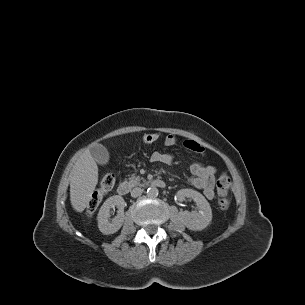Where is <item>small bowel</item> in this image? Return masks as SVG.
Here are the masks:
<instances>
[{
    "label": "small bowel",
    "instance_id": "obj_1",
    "mask_svg": "<svg viewBox=\"0 0 305 305\" xmlns=\"http://www.w3.org/2000/svg\"><path fill=\"white\" fill-rule=\"evenodd\" d=\"M191 141L197 149L193 150L186 146V142ZM184 142V146L196 153L203 154L204 148L193 140H187ZM178 139L175 135L169 134L164 139V145L166 147H173L177 144ZM150 161L154 163L171 164L173 162V155L170 153L153 152L150 156ZM191 172V184L197 189L201 190L204 196L211 200L214 197V184H215V168L212 165H203L201 163H193L190 166Z\"/></svg>",
    "mask_w": 305,
    "mask_h": 305
}]
</instances>
